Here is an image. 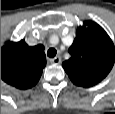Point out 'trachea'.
<instances>
[{
	"label": "trachea",
	"instance_id": "1",
	"mask_svg": "<svg viewBox=\"0 0 115 114\" xmlns=\"http://www.w3.org/2000/svg\"><path fill=\"white\" fill-rule=\"evenodd\" d=\"M57 54V51L55 48H50L48 51H47V56L50 57V58H53L55 57Z\"/></svg>",
	"mask_w": 115,
	"mask_h": 114
}]
</instances>
